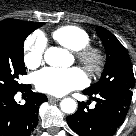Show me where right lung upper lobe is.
I'll return each instance as SVG.
<instances>
[{
	"label": "right lung upper lobe",
	"mask_w": 136,
	"mask_h": 136,
	"mask_svg": "<svg viewBox=\"0 0 136 136\" xmlns=\"http://www.w3.org/2000/svg\"><path fill=\"white\" fill-rule=\"evenodd\" d=\"M18 24L36 25L38 23L20 21V20H16V19H5L0 22V29H7V28H10V27L18 25Z\"/></svg>",
	"instance_id": "obj_1"
}]
</instances>
